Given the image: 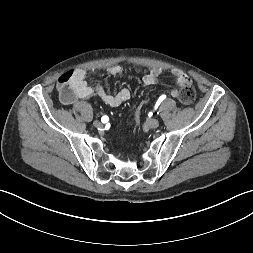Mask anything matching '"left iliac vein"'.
Segmentation results:
<instances>
[{
	"instance_id": "4c4485c4",
	"label": "left iliac vein",
	"mask_w": 253,
	"mask_h": 253,
	"mask_svg": "<svg viewBox=\"0 0 253 253\" xmlns=\"http://www.w3.org/2000/svg\"><path fill=\"white\" fill-rule=\"evenodd\" d=\"M159 124H160V122L157 119H151L146 122V126L151 129H155V128L159 127Z\"/></svg>"
}]
</instances>
